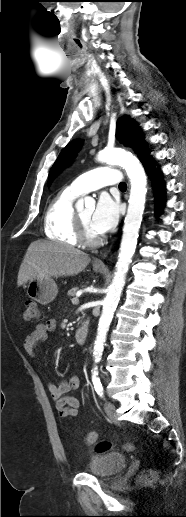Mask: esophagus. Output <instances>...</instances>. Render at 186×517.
I'll list each match as a JSON object with an SVG mask.
<instances>
[{"mask_svg":"<svg viewBox=\"0 0 186 517\" xmlns=\"http://www.w3.org/2000/svg\"><path fill=\"white\" fill-rule=\"evenodd\" d=\"M107 254H108V251H106V252L103 254L102 258L106 257V256H107ZM102 258H101V259H96V260L94 261V264H95V265H98V266H104V262H103Z\"/></svg>","mask_w":186,"mask_h":517,"instance_id":"esophagus-1","label":"esophagus"}]
</instances>
